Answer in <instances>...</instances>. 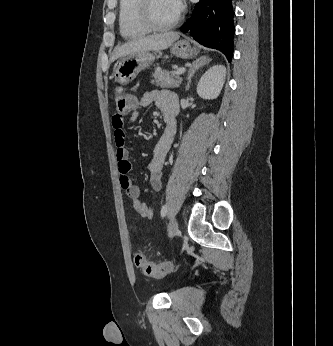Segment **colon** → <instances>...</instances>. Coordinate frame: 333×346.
<instances>
[{"mask_svg": "<svg viewBox=\"0 0 333 346\" xmlns=\"http://www.w3.org/2000/svg\"><path fill=\"white\" fill-rule=\"evenodd\" d=\"M115 105H116V113L114 116H120L124 119L126 116L136 105V100L132 94L129 92L123 91L122 89H117L115 92ZM135 263L141 269L144 275L153 278H161L166 274L171 272L172 265L169 262H150L146 259V257L137 253L135 255Z\"/></svg>", "mask_w": 333, "mask_h": 346, "instance_id": "colon-1", "label": "colon"}]
</instances>
